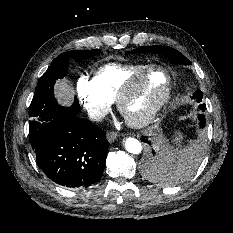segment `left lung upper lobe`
Masks as SVG:
<instances>
[{
	"label": "left lung upper lobe",
	"instance_id": "5c2ea615",
	"mask_svg": "<svg viewBox=\"0 0 233 233\" xmlns=\"http://www.w3.org/2000/svg\"><path fill=\"white\" fill-rule=\"evenodd\" d=\"M141 52L162 54L173 62L181 63L184 65H190V61L182 55L179 51L168 47V46H142L133 51L127 52L128 54H136ZM192 98L197 99L198 102H201L203 98V94L200 90H197ZM199 109L203 112L205 109V104L199 105Z\"/></svg>",
	"mask_w": 233,
	"mask_h": 233
}]
</instances>
